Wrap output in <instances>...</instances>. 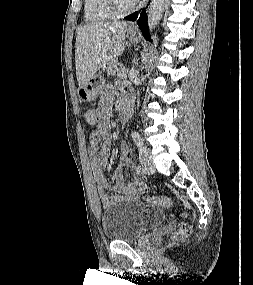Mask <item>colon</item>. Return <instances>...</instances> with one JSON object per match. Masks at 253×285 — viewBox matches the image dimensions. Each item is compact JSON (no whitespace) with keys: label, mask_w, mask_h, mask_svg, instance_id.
<instances>
[{"label":"colon","mask_w":253,"mask_h":285,"mask_svg":"<svg viewBox=\"0 0 253 285\" xmlns=\"http://www.w3.org/2000/svg\"><path fill=\"white\" fill-rule=\"evenodd\" d=\"M84 116L88 124L95 125L98 123V116L95 110L89 109L85 111ZM145 200L152 205H156L162 208H169L172 206V201L167 196H148L145 198ZM190 230V225L186 222H182L177 230L172 234L171 240L177 241L187 237L190 233Z\"/></svg>","instance_id":"5ec220e1"}]
</instances>
